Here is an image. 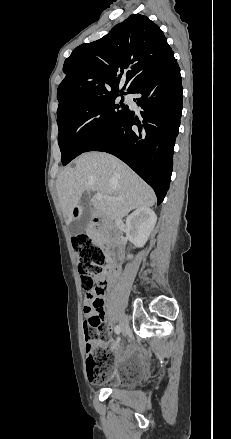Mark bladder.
<instances>
[{
  "instance_id": "31cf9c89",
  "label": "bladder",
  "mask_w": 231,
  "mask_h": 439,
  "mask_svg": "<svg viewBox=\"0 0 231 439\" xmlns=\"http://www.w3.org/2000/svg\"><path fill=\"white\" fill-rule=\"evenodd\" d=\"M145 372V366L141 358L132 357L128 359V364L125 365L123 375L128 379H138Z\"/></svg>"
}]
</instances>
